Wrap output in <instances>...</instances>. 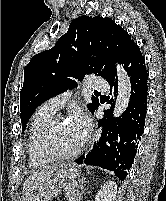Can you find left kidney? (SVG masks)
Returning a JSON list of instances; mask_svg holds the SVG:
<instances>
[{"mask_svg": "<svg viewBox=\"0 0 166 201\" xmlns=\"http://www.w3.org/2000/svg\"><path fill=\"white\" fill-rule=\"evenodd\" d=\"M117 194V184L114 181H108L103 184L95 197V201H114Z\"/></svg>", "mask_w": 166, "mask_h": 201, "instance_id": "5707ae66", "label": "left kidney"}]
</instances>
